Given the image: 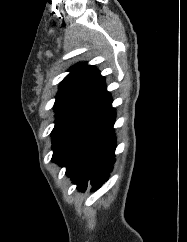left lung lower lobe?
I'll use <instances>...</instances> for the list:
<instances>
[{"label":"left lung lower lobe","instance_id":"left-lung-lower-lobe-1","mask_svg":"<svg viewBox=\"0 0 187 242\" xmlns=\"http://www.w3.org/2000/svg\"><path fill=\"white\" fill-rule=\"evenodd\" d=\"M116 111L112 108L92 125L74 144L61 163L77 189L92 191L107 181L115 163L116 136L113 128Z\"/></svg>","mask_w":187,"mask_h":242}]
</instances>
